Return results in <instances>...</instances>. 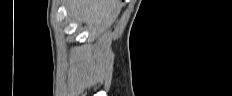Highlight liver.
Here are the masks:
<instances>
[{"mask_svg":"<svg viewBox=\"0 0 232 96\" xmlns=\"http://www.w3.org/2000/svg\"><path fill=\"white\" fill-rule=\"evenodd\" d=\"M69 13L78 22H84L92 27L114 19L120 9L118 0H68Z\"/></svg>","mask_w":232,"mask_h":96,"instance_id":"6515ba94","label":"liver"}]
</instances>
